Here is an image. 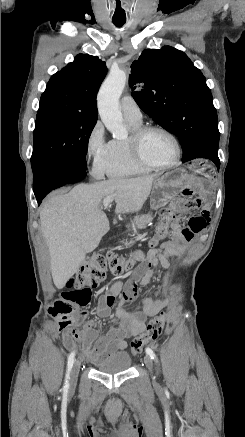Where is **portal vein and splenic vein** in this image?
I'll return each instance as SVG.
<instances>
[{"instance_id":"obj_1","label":"portal vein and splenic vein","mask_w":245,"mask_h":437,"mask_svg":"<svg viewBox=\"0 0 245 437\" xmlns=\"http://www.w3.org/2000/svg\"><path fill=\"white\" fill-rule=\"evenodd\" d=\"M113 200H114V197H113V196H108V197H106V198L103 200V206H104V208L107 209V208L111 205V203L113 202Z\"/></svg>"}]
</instances>
